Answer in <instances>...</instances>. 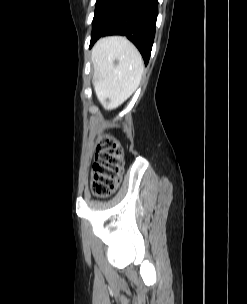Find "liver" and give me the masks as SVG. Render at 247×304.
<instances>
[{"mask_svg":"<svg viewBox=\"0 0 247 304\" xmlns=\"http://www.w3.org/2000/svg\"><path fill=\"white\" fill-rule=\"evenodd\" d=\"M91 58L96 96L106 110L115 109L137 89L144 70L142 57L127 38L112 36L95 44Z\"/></svg>","mask_w":247,"mask_h":304,"instance_id":"1","label":"liver"}]
</instances>
